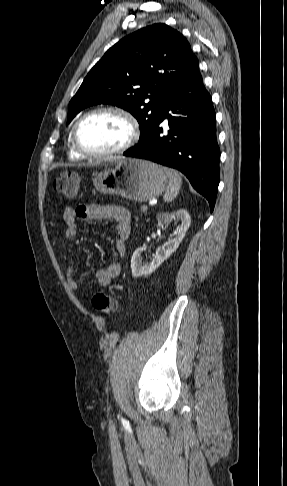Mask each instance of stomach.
<instances>
[{
	"label": "stomach",
	"mask_w": 287,
	"mask_h": 486,
	"mask_svg": "<svg viewBox=\"0 0 287 486\" xmlns=\"http://www.w3.org/2000/svg\"><path fill=\"white\" fill-rule=\"evenodd\" d=\"M97 191L147 201L160 195L167 184L164 168L146 160L117 158L93 179Z\"/></svg>",
	"instance_id": "1"
}]
</instances>
